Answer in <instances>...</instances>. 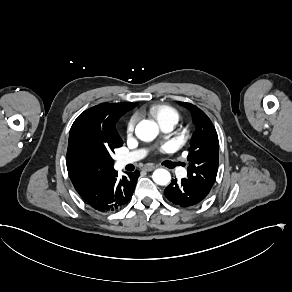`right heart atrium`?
<instances>
[{
  "instance_id": "1",
  "label": "right heart atrium",
  "mask_w": 292,
  "mask_h": 292,
  "mask_svg": "<svg viewBox=\"0 0 292 292\" xmlns=\"http://www.w3.org/2000/svg\"><path fill=\"white\" fill-rule=\"evenodd\" d=\"M136 123H137V117L135 115L130 116L125 122L124 134L128 140L133 136Z\"/></svg>"
}]
</instances>
